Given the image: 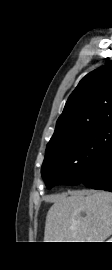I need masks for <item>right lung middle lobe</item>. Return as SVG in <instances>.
<instances>
[{"label": "right lung middle lobe", "mask_w": 112, "mask_h": 270, "mask_svg": "<svg viewBox=\"0 0 112 270\" xmlns=\"http://www.w3.org/2000/svg\"><path fill=\"white\" fill-rule=\"evenodd\" d=\"M111 145L112 123H107L48 148L41 168L46 187L81 183L95 160Z\"/></svg>", "instance_id": "right-lung-middle-lobe-1"}]
</instances>
